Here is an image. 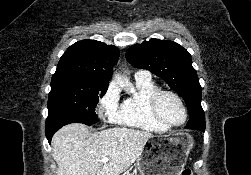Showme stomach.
<instances>
[{
	"label": "stomach",
	"instance_id": "1",
	"mask_svg": "<svg viewBox=\"0 0 251 175\" xmlns=\"http://www.w3.org/2000/svg\"><path fill=\"white\" fill-rule=\"evenodd\" d=\"M193 143L189 133L148 137L136 161L140 175H180Z\"/></svg>",
	"mask_w": 251,
	"mask_h": 175
}]
</instances>
